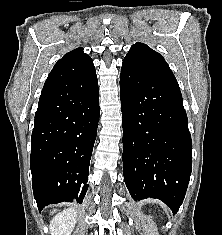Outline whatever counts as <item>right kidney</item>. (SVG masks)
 I'll return each mask as SVG.
<instances>
[{
  "instance_id": "right-kidney-1",
  "label": "right kidney",
  "mask_w": 222,
  "mask_h": 235,
  "mask_svg": "<svg viewBox=\"0 0 222 235\" xmlns=\"http://www.w3.org/2000/svg\"><path fill=\"white\" fill-rule=\"evenodd\" d=\"M77 212L66 209L57 214L50 223L51 235H71L76 224Z\"/></svg>"
}]
</instances>
